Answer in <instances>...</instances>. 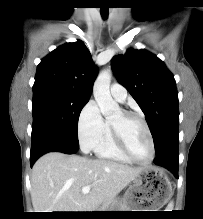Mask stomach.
Instances as JSON below:
<instances>
[{
  "instance_id": "obj_1",
  "label": "stomach",
  "mask_w": 203,
  "mask_h": 219,
  "mask_svg": "<svg viewBox=\"0 0 203 219\" xmlns=\"http://www.w3.org/2000/svg\"><path fill=\"white\" fill-rule=\"evenodd\" d=\"M171 194V183L165 172L157 167H147L132 180L123 204L127 209L158 211L167 203Z\"/></svg>"
}]
</instances>
